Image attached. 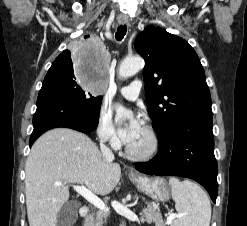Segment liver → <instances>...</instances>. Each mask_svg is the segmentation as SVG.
<instances>
[{"label": "liver", "instance_id": "obj_1", "mask_svg": "<svg viewBox=\"0 0 247 226\" xmlns=\"http://www.w3.org/2000/svg\"><path fill=\"white\" fill-rule=\"evenodd\" d=\"M25 173L29 225L56 226L58 213L70 196L69 184L85 185L91 192L104 196L118 184L121 168L102 157L85 134L56 128L34 143Z\"/></svg>", "mask_w": 247, "mask_h": 226}]
</instances>
